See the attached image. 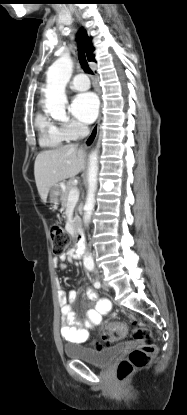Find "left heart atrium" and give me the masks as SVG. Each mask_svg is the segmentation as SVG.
I'll use <instances>...</instances> for the list:
<instances>
[{
  "label": "left heart atrium",
  "instance_id": "1",
  "mask_svg": "<svg viewBox=\"0 0 187 415\" xmlns=\"http://www.w3.org/2000/svg\"><path fill=\"white\" fill-rule=\"evenodd\" d=\"M98 111L99 100L92 92L78 94L71 104V113L83 123L93 122Z\"/></svg>",
  "mask_w": 187,
  "mask_h": 415
}]
</instances>
